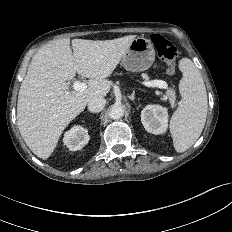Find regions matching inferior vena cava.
<instances>
[{
    "instance_id": "602c4592",
    "label": "inferior vena cava",
    "mask_w": 232,
    "mask_h": 232,
    "mask_svg": "<svg viewBox=\"0 0 232 232\" xmlns=\"http://www.w3.org/2000/svg\"><path fill=\"white\" fill-rule=\"evenodd\" d=\"M106 100L103 97H96L89 101L88 110L90 112L98 113L103 110Z\"/></svg>"
}]
</instances>
